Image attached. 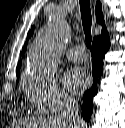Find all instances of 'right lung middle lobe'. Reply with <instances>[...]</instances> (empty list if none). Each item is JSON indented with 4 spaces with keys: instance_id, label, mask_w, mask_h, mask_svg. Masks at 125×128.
Wrapping results in <instances>:
<instances>
[{
    "instance_id": "obj_1",
    "label": "right lung middle lobe",
    "mask_w": 125,
    "mask_h": 128,
    "mask_svg": "<svg viewBox=\"0 0 125 128\" xmlns=\"http://www.w3.org/2000/svg\"><path fill=\"white\" fill-rule=\"evenodd\" d=\"M19 81V74H17V82Z\"/></svg>"
}]
</instances>
